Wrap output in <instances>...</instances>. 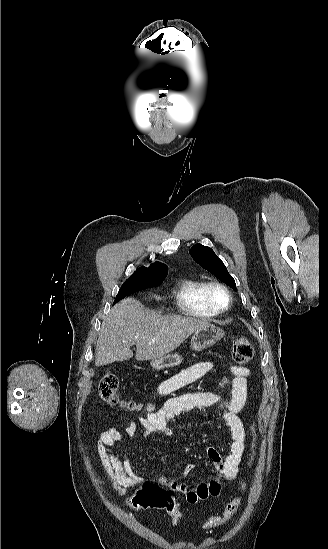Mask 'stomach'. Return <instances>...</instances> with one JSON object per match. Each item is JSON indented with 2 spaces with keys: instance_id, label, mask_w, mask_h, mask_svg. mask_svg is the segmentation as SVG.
I'll list each match as a JSON object with an SVG mask.
<instances>
[{
  "instance_id": "stomach-1",
  "label": "stomach",
  "mask_w": 328,
  "mask_h": 549,
  "mask_svg": "<svg viewBox=\"0 0 328 549\" xmlns=\"http://www.w3.org/2000/svg\"><path fill=\"white\" fill-rule=\"evenodd\" d=\"M224 335L225 333L220 327L208 323L206 327H200L198 331L193 333L191 349H193V351H203V349L215 345ZM180 363H182V359L178 353H176V355H163V357L151 359L150 361V365L154 371H161V369H168V367H177Z\"/></svg>"
}]
</instances>
